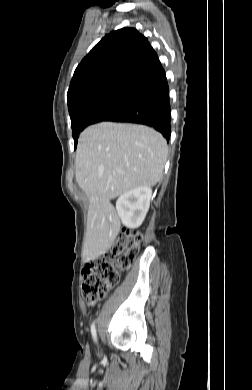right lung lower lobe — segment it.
<instances>
[{
  "instance_id": "1",
  "label": "right lung lower lobe",
  "mask_w": 252,
  "mask_h": 390,
  "mask_svg": "<svg viewBox=\"0 0 252 390\" xmlns=\"http://www.w3.org/2000/svg\"><path fill=\"white\" fill-rule=\"evenodd\" d=\"M105 121L130 122L153 127L169 141L171 135L167 80L149 88L125 109Z\"/></svg>"
}]
</instances>
